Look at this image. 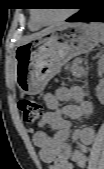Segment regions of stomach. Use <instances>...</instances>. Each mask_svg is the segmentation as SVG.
Instances as JSON below:
<instances>
[{"instance_id":"stomach-1","label":"stomach","mask_w":104,"mask_h":169,"mask_svg":"<svg viewBox=\"0 0 104 169\" xmlns=\"http://www.w3.org/2000/svg\"><path fill=\"white\" fill-rule=\"evenodd\" d=\"M103 31L85 23L65 24L23 42L16 50L15 80L24 94L40 93L73 57L91 51Z\"/></svg>"}]
</instances>
